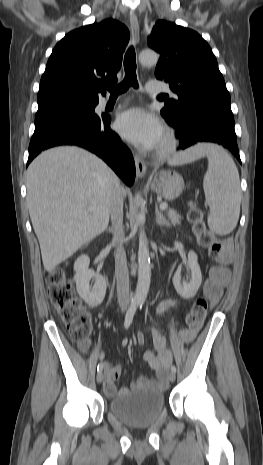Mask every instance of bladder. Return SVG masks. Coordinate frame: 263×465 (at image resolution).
Instances as JSON below:
<instances>
[{"label":"bladder","mask_w":263,"mask_h":465,"mask_svg":"<svg viewBox=\"0 0 263 465\" xmlns=\"http://www.w3.org/2000/svg\"><path fill=\"white\" fill-rule=\"evenodd\" d=\"M165 407L164 394L143 387L117 395L108 403L109 413L123 424L133 428L153 425Z\"/></svg>","instance_id":"31cf9c89"}]
</instances>
